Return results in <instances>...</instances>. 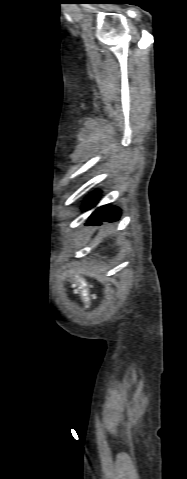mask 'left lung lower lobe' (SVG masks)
I'll use <instances>...</instances> for the list:
<instances>
[{
    "mask_svg": "<svg viewBox=\"0 0 187 479\" xmlns=\"http://www.w3.org/2000/svg\"><path fill=\"white\" fill-rule=\"evenodd\" d=\"M96 198L91 197L85 203V206L92 207L96 203ZM120 210L112 206H101L90 216L87 225H100L101 222H113L119 219Z\"/></svg>",
    "mask_w": 187,
    "mask_h": 479,
    "instance_id": "obj_1",
    "label": "left lung lower lobe"
}]
</instances>
